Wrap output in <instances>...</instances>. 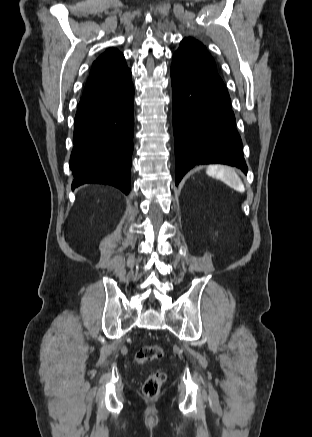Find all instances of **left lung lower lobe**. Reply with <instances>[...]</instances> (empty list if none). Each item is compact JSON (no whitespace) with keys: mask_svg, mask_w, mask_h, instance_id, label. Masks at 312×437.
Masks as SVG:
<instances>
[{"mask_svg":"<svg viewBox=\"0 0 312 437\" xmlns=\"http://www.w3.org/2000/svg\"><path fill=\"white\" fill-rule=\"evenodd\" d=\"M171 82L175 184L199 164H227L247 173L230 97L218 73L187 54L176 52Z\"/></svg>","mask_w":312,"mask_h":437,"instance_id":"obj_1","label":"left lung lower lobe"}]
</instances>
